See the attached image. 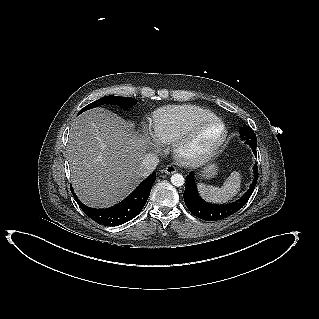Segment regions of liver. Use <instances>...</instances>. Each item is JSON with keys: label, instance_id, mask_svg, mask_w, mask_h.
<instances>
[{"label": "liver", "instance_id": "1", "mask_svg": "<svg viewBox=\"0 0 319 319\" xmlns=\"http://www.w3.org/2000/svg\"><path fill=\"white\" fill-rule=\"evenodd\" d=\"M148 145L146 138L105 108L77 117L66 153L71 183L80 200L104 208L124 199L148 175L140 169Z\"/></svg>", "mask_w": 319, "mask_h": 319}]
</instances>
